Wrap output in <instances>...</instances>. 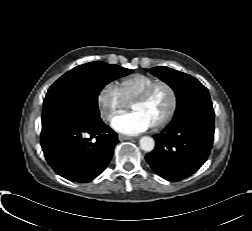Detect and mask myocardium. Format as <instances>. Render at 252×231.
Segmentation results:
<instances>
[{"label":"myocardium","mask_w":252,"mask_h":231,"mask_svg":"<svg viewBox=\"0 0 252 231\" xmlns=\"http://www.w3.org/2000/svg\"><path fill=\"white\" fill-rule=\"evenodd\" d=\"M160 86H164L168 89L171 97V102L169 109L164 117L160 121L152 125L155 130L165 127L172 120L176 113L178 107V94L175 87L167 81H156L132 101V104L136 102L142 103L148 101L154 91Z\"/></svg>","instance_id":"f54148a6"}]
</instances>
